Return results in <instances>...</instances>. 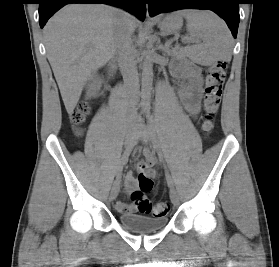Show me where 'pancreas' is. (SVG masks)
I'll return each mask as SVG.
<instances>
[{
	"mask_svg": "<svg viewBox=\"0 0 279 267\" xmlns=\"http://www.w3.org/2000/svg\"><path fill=\"white\" fill-rule=\"evenodd\" d=\"M168 54L171 55V56H180V55H183L182 52H178L176 49H173V50H167Z\"/></svg>",
	"mask_w": 279,
	"mask_h": 267,
	"instance_id": "1",
	"label": "pancreas"
}]
</instances>
